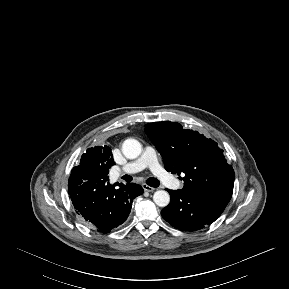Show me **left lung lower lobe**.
Returning a JSON list of instances; mask_svg holds the SVG:
<instances>
[{
	"instance_id": "0a47b994",
	"label": "left lung lower lobe",
	"mask_w": 289,
	"mask_h": 289,
	"mask_svg": "<svg viewBox=\"0 0 289 289\" xmlns=\"http://www.w3.org/2000/svg\"><path fill=\"white\" fill-rule=\"evenodd\" d=\"M171 201L162 209V217L180 230L197 231L213 223L225 207L196 193L183 190H167Z\"/></svg>"
}]
</instances>
